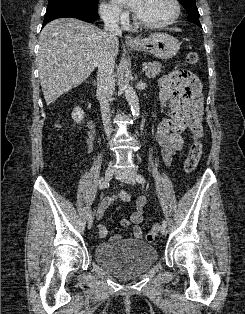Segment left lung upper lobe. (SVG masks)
Here are the masks:
<instances>
[{"mask_svg":"<svg viewBox=\"0 0 245 314\" xmlns=\"http://www.w3.org/2000/svg\"><path fill=\"white\" fill-rule=\"evenodd\" d=\"M179 2L183 5L189 15L188 21L201 26L199 12L196 7V0H179Z\"/></svg>","mask_w":245,"mask_h":314,"instance_id":"1","label":"left lung upper lobe"}]
</instances>
